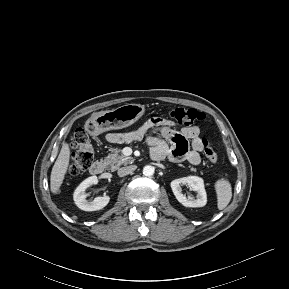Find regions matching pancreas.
Masks as SVG:
<instances>
[{
    "instance_id": "obj_1",
    "label": "pancreas",
    "mask_w": 289,
    "mask_h": 289,
    "mask_svg": "<svg viewBox=\"0 0 289 289\" xmlns=\"http://www.w3.org/2000/svg\"><path fill=\"white\" fill-rule=\"evenodd\" d=\"M110 153L105 157V164L110 168L111 171H115L121 165H127L134 162L132 157H126L124 155H120L122 152L119 148H111ZM191 171L196 172V168L189 166Z\"/></svg>"
}]
</instances>
